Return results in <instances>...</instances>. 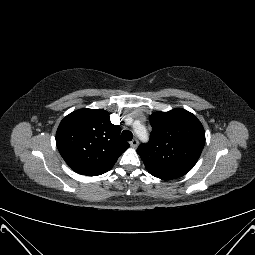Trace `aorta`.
I'll return each mask as SVG.
<instances>
[{
    "instance_id": "762f6f07",
    "label": "aorta",
    "mask_w": 255,
    "mask_h": 255,
    "mask_svg": "<svg viewBox=\"0 0 255 255\" xmlns=\"http://www.w3.org/2000/svg\"><path fill=\"white\" fill-rule=\"evenodd\" d=\"M141 130H143L142 133H141ZM135 132H136V134H137L140 138H142V139L147 138L146 129H145L142 125H139V126L135 127Z\"/></svg>"
}]
</instances>
